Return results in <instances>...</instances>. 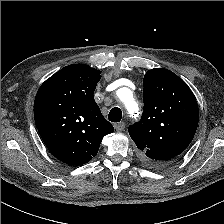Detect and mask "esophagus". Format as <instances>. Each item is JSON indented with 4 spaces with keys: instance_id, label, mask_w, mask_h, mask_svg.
I'll return each instance as SVG.
<instances>
[{
    "instance_id": "1",
    "label": "esophagus",
    "mask_w": 224,
    "mask_h": 224,
    "mask_svg": "<svg viewBox=\"0 0 224 224\" xmlns=\"http://www.w3.org/2000/svg\"><path fill=\"white\" fill-rule=\"evenodd\" d=\"M114 127H115L117 132H121L125 128V123L124 122H119V123L115 124Z\"/></svg>"
}]
</instances>
